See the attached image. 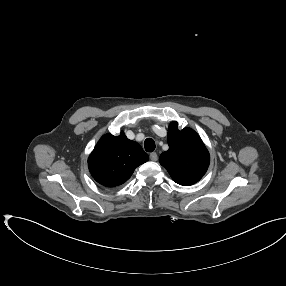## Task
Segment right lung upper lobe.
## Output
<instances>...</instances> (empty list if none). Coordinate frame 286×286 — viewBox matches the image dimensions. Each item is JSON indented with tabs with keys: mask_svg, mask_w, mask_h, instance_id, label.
I'll use <instances>...</instances> for the list:
<instances>
[{
	"mask_svg": "<svg viewBox=\"0 0 286 286\" xmlns=\"http://www.w3.org/2000/svg\"><path fill=\"white\" fill-rule=\"evenodd\" d=\"M148 159L142 147L121 132L119 136H102L89 156L88 167L98 183L115 187L126 182L135 168Z\"/></svg>",
	"mask_w": 286,
	"mask_h": 286,
	"instance_id": "cb5924a9",
	"label": "right lung upper lobe"
}]
</instances>
